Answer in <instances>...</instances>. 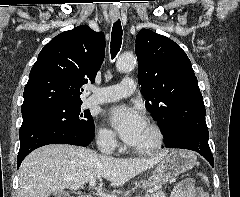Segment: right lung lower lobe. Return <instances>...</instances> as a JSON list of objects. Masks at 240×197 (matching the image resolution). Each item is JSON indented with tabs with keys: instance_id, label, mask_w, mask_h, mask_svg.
Returning <instances> with one entry per match:
<instances>
[{
	"instance_id": "obj_1",
	"label": "right lung lower lobe",
	"mask_w": 240,
	"mask_h": 197,
	"mask_svg": "<svg viewBox=\"0 0 240 197\" xmlns=\"http://www.w3.org/2000/svg\"><path fill=\"white\" fill-rule=\"evenodd\" d=\"M93 137L94 132L85 135L75 131L71 126L47 117H23V123L19 131L20 149L17 157V167L31 151L38 147L48 144L87 146Z\"/></svg>"
}]
</instances>
